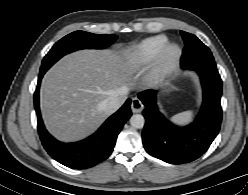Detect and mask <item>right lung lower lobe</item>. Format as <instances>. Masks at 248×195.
Returning a JSON list of instances; mask_svg holds the SVG:
<instances>
[{"instance_id":"98d812e1","label":"right lung lower lobe","mask_w":248,"mask_h":195,"mask_svg":"<svg viewBox=\"0 0 248 195\" xmlns=\"http://www.w3.org/2000/svg\"><path fill=\"white\" fill-rule=\"evenodd\" d=\"M45 72L40 71L34 94L37 127L45 150L53 159L73 169H87L107 159L113 151L119 132L131 116V99H128L116 113L110 116L93 135L79 142L63 143L48 133L40 115L39 88Z\"/></svg>"}]
</instances>
